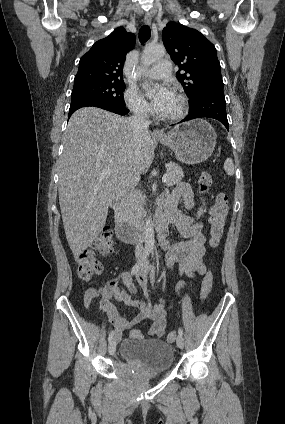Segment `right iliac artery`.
<instances>
[{"label": "right iliac artery", "mask_w": 285, "mask_h": 424, "mask_svg": "<svg viewBox=\"0 0 285 424\" xmlns=\"http://www.w3.org/2000/svg\"><path fill=\"white\" fill-rule=\"evenodd\" d=\"M150 252H151L150 248H145L141 259L133 266V268L131 269L130 275L128 274L129 277L135 275L140 270L141 266L143 265V262L149 257ZM153 274H154V271L152 272V275ZM113 337H114V331H111L108 336V341L110 342L113 339Z\"/></svg>", "instance_id": "82829eb1"}]
</instances>
